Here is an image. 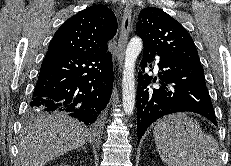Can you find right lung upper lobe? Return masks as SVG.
<instances>
[{"label":"right lung upper lobe","instance_id":"right-lung-upper-lobe-1","mask_svg":"<svg viewBox=\"0 0 231 166\" xmlns=\"http://www.w3.org/2000/svg\"><path fill=\"white\" fill-rule=\"evenodd\" d=\"M117 32L114 13L93 5L69 18L54 34L48 51L75 55L103 53Z\"/></svg>","mask_w":231,"mask_h":166}]
</instances>
